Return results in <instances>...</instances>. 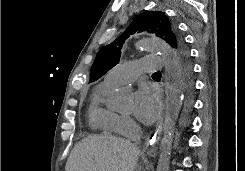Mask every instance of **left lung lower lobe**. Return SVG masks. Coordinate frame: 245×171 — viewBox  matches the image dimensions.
Here are the masks:
<instances>
[{"mask_svg": "<svg viewBox=\"0 0 245 171\" xmlns=\"http://www.w3.org/2000/svg\"><path fill=\"white\" fill-rule=\"evenodd\" d=\"M175 66L178 67V74L181 81V85L183 90L187 94L186 106L190 107V95L193 89L192 61H175Z\"/></svg>", "mask_w": 245, "mask_h": 171, "instance_id": "0a47b994", "label": "left lung lower lobe"}]
</instances>
